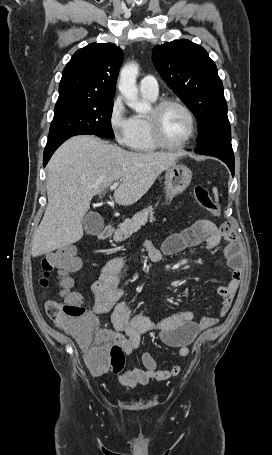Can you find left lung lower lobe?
<instances>
[{"mask_svg": "<svg viewBox=\"0 0 272 455\" xmlns=\"http://www.w3.org/2000/svg\"><path fill=\"white\" fill-rule=\"evenodd\" d=\"M194 152L219 158L227 164L232 175H234V153L231 145V133L222 134L198 144Z\"/></svg>", "mask_w": 272, "mask_h": 455, "instance_id": "1", "label": "left lung lower lobe"}]
</instances>
